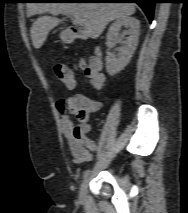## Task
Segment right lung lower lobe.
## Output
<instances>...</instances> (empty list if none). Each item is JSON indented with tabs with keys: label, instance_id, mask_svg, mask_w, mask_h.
<instances>
[{
	"label": "right lung lower lobe",
	"instance_id": "obj_1",
	"mask_svg": "<svg viewBox=\"0 0 188 213\" xmlns=\"http://www.w3.org/2000/svg\"><path fill=\"white\" fill-rule=\"evenodd\" d=\"M98 1H109V0H98ZM118 1H129L131 3H137L145 12L149 21L151 22L153 20L154 6L156 3V0H118Z\"/></svg>",
	"mask_w": 188,
	"mask_h": 213
}]
</instances>
